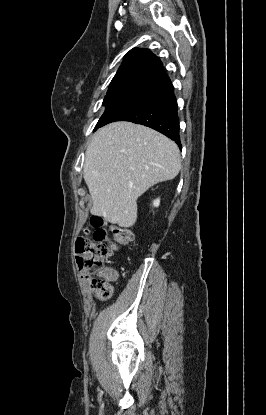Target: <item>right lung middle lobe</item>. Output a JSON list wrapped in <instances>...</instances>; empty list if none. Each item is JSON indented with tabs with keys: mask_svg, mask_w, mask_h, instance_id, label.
<instances>
[{
	"mask_svg": "<svg viewBox=\"0 0 266 415\" xmlns=\"http://www.w3.org/2000/svg\"><path fill=\"white\" fill-rule=\"evenodd\" d=\"M147 95L149 94L135 91L107 92L103 101V105L106 106V109L99 119L95 129L104 126L111 116L142 100Z\"/></svg>",
	"mask_w": 266,
	"mask_h": 415,
	"instance_id": "right-lung-middle-lobe-1",
	"label": "right lung middle lobe"
}]
</instances>
